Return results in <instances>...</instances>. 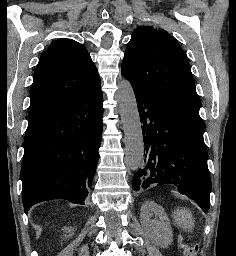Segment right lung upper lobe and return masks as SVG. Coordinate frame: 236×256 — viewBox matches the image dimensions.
I'll return each mask as SVG.
<instances>
[{"label": "right lung upper lobe", "mask_w": 236, "mask_h": 256, "mask_svg": "<svg viewBox=\"0 0 236 256\" xmlns=\"http://www.w3.org/2000/svg\"><path fill=\"white\" fill-rule=\"evenodd\" d=\"M99 85L96 66L80 43L72 39L53 42L41 54L34 74L28 125Z\"/></svg>", "instance_id": "right-lung-upper-lobe-1"}]
</instances>
